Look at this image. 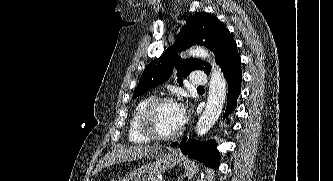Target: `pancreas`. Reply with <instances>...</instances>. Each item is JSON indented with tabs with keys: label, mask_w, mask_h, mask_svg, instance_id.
<instances>
[{
	"label": "pancreas",
	"mask_w": 333,
	"mask_h": 181,
	"mask_svg": "<svg viewBox=\"0 0 333 181\" xmlns=\"http://www.w3.org/2000/svg\"><path fill=\"white\" fill-rule=\"evenodd\" d=\"M153 181H159V179H158L157 177H155V178L153 179Z\"/></svg>",
	"instance_id": "1"
}]
</instances>
